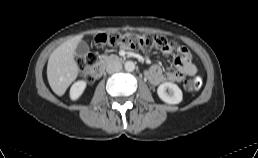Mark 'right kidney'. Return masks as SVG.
I'll return each instance as SVG.
<instances>
[{"mask_svg":"<svg viewBox=\"0 0 258 158\" xmlns=\"http://www.w3.org/2000/svg\"><path fill=\"white\" fill-rule=\"evenodd\" d=\"M85 88H86L85 81L80 80L75 82L70 89L71 100H77L83 94Z\"/></svg>","mask_w":258,"mask_h":158,"instance_id":"obj_1","label":"right kidney"}]
</instances>
